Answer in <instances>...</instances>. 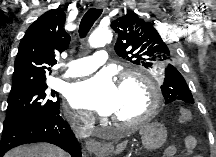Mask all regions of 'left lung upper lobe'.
Returning a JSON list of instances; mask_svg holds the SVG:
<instances>
[{"mask_svg":"<svg viewBox=\"0 0 216 157\" xmlns=\"http://www.w3.org/2000/svg\"><path fill=\"white\" fill-rule=\"evenodd\" d=\"M112 29L117 33L115 52L125 60L145 67L157 69L164 74L161 91L166 103L184 101L193 104L194 100L185 79L181 64H178L177 49L173 48L174 39L159 35L163 27H154L134 12L112 21Z\"/></svg>","mask_w":216,"mask_h":157,"instance_id":"5c2ea615","label":"left lung upper lobe"}]
</instances>
